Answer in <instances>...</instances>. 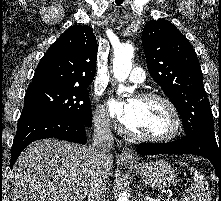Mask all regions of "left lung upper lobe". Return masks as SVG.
I'll return each instance as SVG.
<instances>
[{"label": "left lung upper lobe", "instance_id": "obj_1", "mask_svg": "<svg viewBox=\"0 0 221 201\" xmlns=\"http://www.w3.org/2000/svg\"><path fill=\"white\" fill-rule=\"evenodd\" d=\"M147 67L183 120L185 133L199 130L215 138L213 114L200 64L188 39L169 21H149L142 32Z\"/></svg>", "mask_w": 221, "mask_h": 201}]
</instances>
